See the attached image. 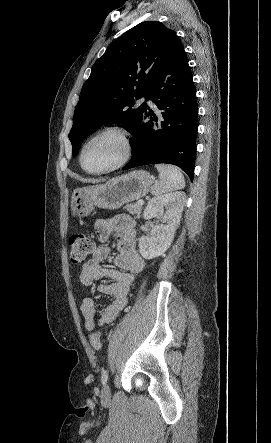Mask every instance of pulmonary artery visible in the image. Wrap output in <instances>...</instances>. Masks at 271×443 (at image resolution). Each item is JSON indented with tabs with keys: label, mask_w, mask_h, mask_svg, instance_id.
Here are the masks:
<instances>
[{
	"label": "pulmonary artery",
	"mask_w": 271,
	"mask_h": 443,
	"mask_svg": "<svg viewBox=\"0 0 271 443\" xmlns=\"http://www.w3.org/2000/svg\"><path fill=\"white\" fill-rule=\"evenodd\" d=\"M140 102H146L151 108H155V104L151 100H148L146 98H142L140 100Z\"/></svg>",
	"instance_id": "e3ab8cb5"
}]
</instances>
